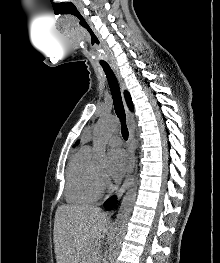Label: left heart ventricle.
I'll use <instances>...</instances> for the list:
<instances>
[{"label":"left heart ventricle","mask_w":220,"mask_h":263,"mask_svg":"<svg viewBox=\"0 0 220 263\" xmlns=\"http://www.w3.org/2000/svg\"><path fill=\"white\" fill-rule=\"evenodd\" d=\"M98 173L102 174V173H103V171H102V170H98Z\"/></svg>","instance_id":"left-heart-ventricle-1"}]
</instances>
